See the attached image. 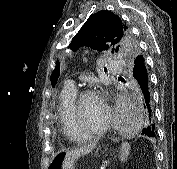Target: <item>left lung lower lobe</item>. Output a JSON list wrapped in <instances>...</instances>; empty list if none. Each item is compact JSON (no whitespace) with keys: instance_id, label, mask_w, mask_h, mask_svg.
I'll return each mask as SVG.
<instances>
[{"instance_id":"1","label":"left lung lower lobe","mask_w":177,"mask_h":169,"mask_svg":"<svg viewBox=\"0 0 177 169\" xmlns=\"http://www.w3.org/2000/svg\"><path fill=\"white\" fill-rule=\"evenodd\" d=\"M135 89L138 92L139 101L145 108V118L147 125L143 128L142 134L149 137L156 136V128L153 120L152 100L149 87L148 69L142 55H136L129 63Z\"/></svg>"}]
</instances>
